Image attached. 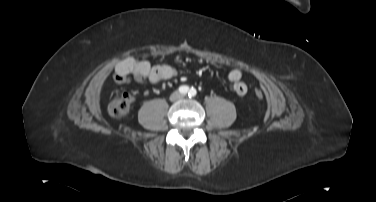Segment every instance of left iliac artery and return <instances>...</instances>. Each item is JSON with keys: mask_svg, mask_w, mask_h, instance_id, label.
<instances>
[{"mask_svg": "<svg viewBox=\"0 0 376 202\" xmlns=\"http://www.w3.org/2000/svg\"><path fill=\"white\" fill-rule=\"evenodd\" d=\"M196 93H197L196 90L194 88H191L188 95H189V97H193V96L196 95Z\"/></svg>", "mask_w": 376, "mask_h": 202, "instance_id": "1", "label": "left iliac artery"}]
</instances>
